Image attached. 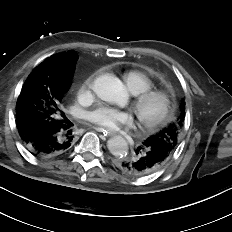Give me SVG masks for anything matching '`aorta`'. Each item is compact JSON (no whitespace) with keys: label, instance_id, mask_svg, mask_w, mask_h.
Wrapping results in <instances>:
<instances>
[{"label":"aorta","instance_id":"1","mask_svg":"<svg viewBox=\"0 0 232 232\" xmlns=\"http://www.w3.org/2000/svg\"><path fill=\"white\" fill-rule=\"evenodd\" d=\"M94 91L97 96L111 104L125 105L128 93L122 82L114 75L105 74L94 81ZM107 147L111 154L123 157L128 153V144L122 136H115L107 141Z\"/></svg>","mask_w":232,"mask_h":232}]
</instances>
